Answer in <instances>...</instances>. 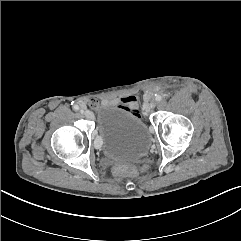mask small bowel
Wrapping results in <instances>:
<instances>
[{"label":"small bowel","mask_w":241,"mask_h":241,"mask_svg":"<svg viewBox=\"0 0 241 241\" xmlns=\"http://www.w3.org/2000/svg\"><path fill=\"white\" fill-rule=\"evenodd\" d=\"M139 98L136 95L123 96L116 100V104L129 110L134 119L139 120L143 117L144 112L138 106Z\"/></svg>","instance_id":"obj_1"}]
</instances>
